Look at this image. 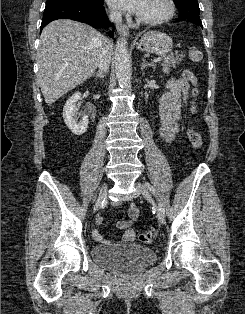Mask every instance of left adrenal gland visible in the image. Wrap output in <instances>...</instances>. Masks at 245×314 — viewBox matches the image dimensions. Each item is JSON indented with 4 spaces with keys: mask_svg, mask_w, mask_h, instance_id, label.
Masks as SVG:
<instances>
[{
    "mask_svg": "<svg viewBox=\"0 0 245 314\" xmlns=\"http://www.w3.org/2000/svg\"><path fill=\"white\" fill-rule=\"evenodd\" d=\"M147 67H154L152 63H147L145 58H142L141 69L142 71Z\"/></svg>",
    "mask_w": 245,
    "mask_h": 314,
    "instance_id": "left-adrenal-gland-1",
    "label": "left adrenal gland"
}]
</instances>
